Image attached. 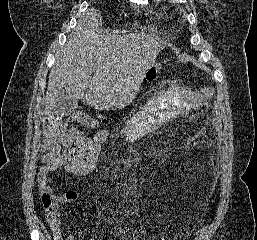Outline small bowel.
Here are the masks:
<instances>
[{
	"mask_svg": "<svg viewBox=\"0 0 257 240\" xmlns=\"http://www.w3.org/2000/svg\"><path fill=\"white\" fill-rule=\"evenodd\" d=\"M110 133L100 128L93 138L87 137L75 127L49 129L42 142V163L38 172V185L42 195H53L51 180L62 175L92 176L96 170L102 146L109 139ZM80 194L74 189L65 190L57 200L65 204L78 202ZM47 220L55 240H78L82 235L64 238L56 218L47 212ZM115 227L116 234L124 240H135V232L126 223L108 220ZM87 240H95L88 238Z\"/></svg>",
	"mask_w": 257,
	"mask_h": 240,
	"instance_id": "c3829d8e",
	"label": "small bowel"
}]
</instances>
